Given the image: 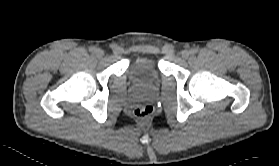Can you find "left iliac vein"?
Wrapping results in <instances>:
<instances>
[{
	"instance_id": "1",
	"label": "left iliac vein",
	"mask_w": 279,
	"mask_h": 166,
	"mask_svg": "<svg viewBox=\"0 0 279 166\" xmlns=\"http://www.w3.org/2000/svg\"><path fill=\"white\" fill-rule=\"evenodd\" d=\"M190 55H191V53H190V51H188V50H183V51L181 52V56H182L184 59H188V58L190 57Z\"/></svg>"
}]
</instances>
